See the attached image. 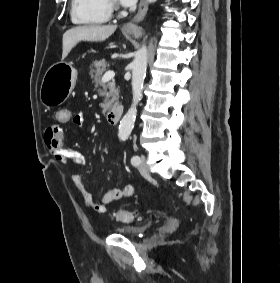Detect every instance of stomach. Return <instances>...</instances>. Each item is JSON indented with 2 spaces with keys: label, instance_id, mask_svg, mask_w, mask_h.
<instances>
[{
  "label": "stomach",
  "instance_id": "stomach-1",
  "mask_svg": "<svg viewBox=\"0 0 280 283\" xmlns=\"http://www.w3.org/2000/svg\"><path fill=\"white\" fill-rule=\"evenodd\" d=\"M133 29L125 30L126 34H132ZM77 70L71 63L58 62L46 71L41 88L40 101L46 107L62 104L75 87Z\"/></svg>",
  "mask_w": 280,
  "mask_h": 283
}]
</instances>
